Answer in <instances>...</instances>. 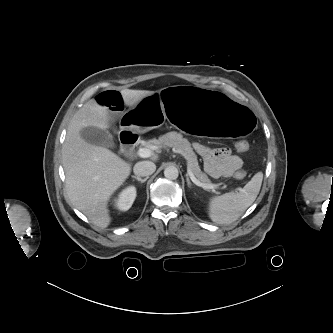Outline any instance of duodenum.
I'll list each match as a JSON object with an SVG mask.
<instances>
[{"mask_svg": "<svg viewBox=\"0 0 333 333\" xmlns=\"http://www.w3.org/2000/svg\"><path fill=\"white\" fill-rule=\"evenodd\" d=\"M120 139L121 147L126 155L132 154L139 142L138 136L129 131H123L120 135Z\"/></svg>", "mask_w": 333, "mask_h": 333, "instance_id": "duodenum-1", "label": "duodenum"}]
</instances>
